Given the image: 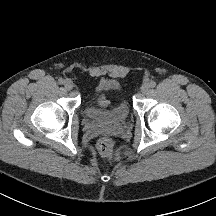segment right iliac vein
<instances>
[{
    "instance_id": "obj_1",
    "label": "right iliac vein",
    "mask_w": 216,
    "mask_h": 216,
    "mask_svg": "<svg viewBox=\"0 0 216 216\" xmlns=\"http://www.w3.org/2000/svg\"><path fill=\"white\" fill-rule=\"evenodd\" d=\"M64 86L67 90H71L73 88V82L67 79L64 81Z\"/></svg>"
}]
</instances>
